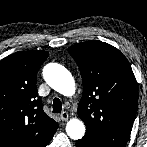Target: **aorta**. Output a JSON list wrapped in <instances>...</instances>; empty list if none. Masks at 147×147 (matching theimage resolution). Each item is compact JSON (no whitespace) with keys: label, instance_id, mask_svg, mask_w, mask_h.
<instances>
[{"label":"aorta","instance_id":"762f6f07","mask_svg":"<svg viewBox=\"0 0 147 147\" xmlns=\"http://www.w3.org/2000/svg\"><path fill=\"white\" fill-rule=\"evenodd\" d=\"M48 85L64 96H71L75 92V82L71 73L63 66L55 63L48 64L43 71ZM67 135L74 140L81 139L85 134V125L78 118H72L66 125Z\"/></svg>","mask_w":147,"mask_h":147}]
</instances>
